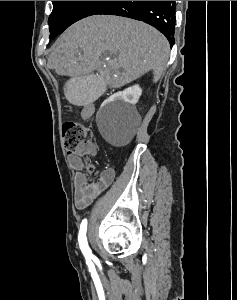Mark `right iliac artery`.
I'll return each mask as SVG.
<instances>
[{
	"label": "right iliac artery",
	"mask_w": 237,
	"mask_h": 300,
	"mask_svg": "<svg viewBox=\"0 0 237 300\" xmlns=\"http://www.w3.org/2000/svg\"><path fill=\"white\" fill-rule=\"evenodd\" d=\"M86 231H87V220L84 219L80 225L79 235H78V242L80 249L85 256V258L88 259H95V256L92 254L91 249L88 246L87 238H86Z\"/></svg>",
	"instance_id": "1"
}]
</instances>
